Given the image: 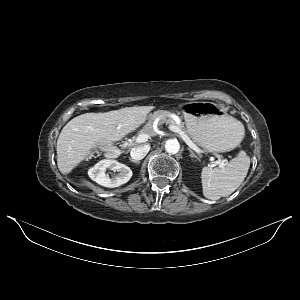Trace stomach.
Instances as JSON below:
<instances>
[{"mask_svg": "<svg viewBox=\"0 0 300 300\" xmlns=\"http://www.w3.org/2000/svg\"><path fill=\"white\" fill-rule=\"evenodd\" d=\"M162 111L150 115L158 118ZM187 131L201 147L211 152H227L239 145L243 138L233 117L212 102H189L183 105Z\"/></svg>", "mask_w": 300, "mask_h": 300, "instance_id": "1", "label": "stomach"}]
</instances>
